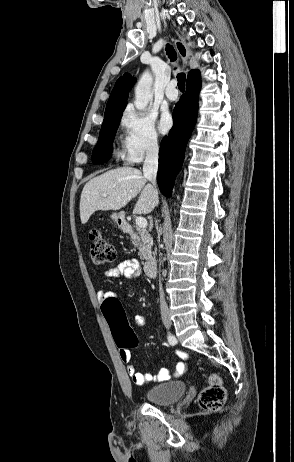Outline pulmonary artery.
Instances as JSON below:
<instances>
[{
    "label": "pulmonary artery",
    "mask_w": 294,
    "mask_h": 462,
    "mask_svg": "<svg viewBox=\"0 0 294 462\" xmlns=\"http://www.w3.org/2000/svg\"><path fill=\"white\" fill-rule=\"evenodd\" d=\"M165 96L169 101H176L178 99V92L176 90V82L171 81L165 90Z\"/></svg>",
    "instance_id": "obj_1"
}]
</instances>
